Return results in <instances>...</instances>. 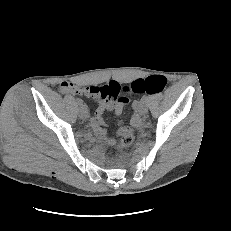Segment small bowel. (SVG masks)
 Segmentation results:
<instances>
[{"label":"small bowel","instance_id":"obj_1","mask_svg":"<svg viewBox=\"0 0 231 231\" xmlns=\"http://www.w3.org/2000/svg\"><path fill=\"white\" fill-rule=\"evenodd\" d=\"M117 83V82H115ZM106 86V85H105ZM105 86H78L71 82H62L61 83V91L63 93L70 94H86L92 98H94L98 102V107L95 110L93 117L90 120V125L97 135V137L104 143L112 144L114 142L113 139H110L106 135V131L103 128L104 125V113L106 111H113L115 114L120 115L125 106L129 103V99L127 97H120L118 99H112L104 95V87ZM133 121L137 123L138 115L134 114ZM125 127H122L118 130V134L121 135L124 131Z\"/></svg>","mask_w":231,"mask_h":231}]
</instances>
